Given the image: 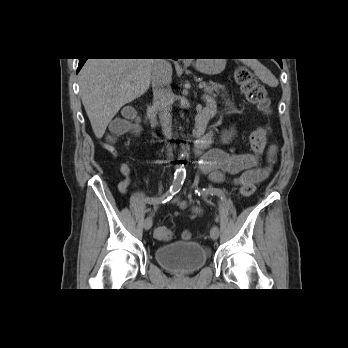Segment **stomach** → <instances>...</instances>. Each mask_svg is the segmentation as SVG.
Returning a JSON list of instances; mask_svg holds the SVG:
<instances>
[{"instance_id": "1", "label": "stomach", "mask_w": 348, "mask_h": 348, "mask_svg": "<svg viewBox=\"0 0 348 348\" xmlns=\"http://www.w3.org/2000/svg\"><path fill=\"white\" fill-rule=\"evenodd\" d=\"M226 65L225 59H197L194 66L201 73L215 75L220 73Z\"/></svg>"}]
</instances>
